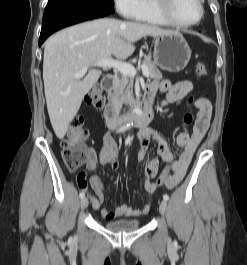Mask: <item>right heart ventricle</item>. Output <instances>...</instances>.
<instances>
[{
  "mask_svg": "<svg viewBox=\"0 0 247 265\" xmlns=\"http://www.w3.org/2000/svg\"><path fill=\"white\" fill-rule=\"evenodd\" d=\"M136 20L154 25L170 26L157 11L155 0H142V8Z\"/></svg>",
  "mask_w": 247,
  "mask_h": 265,
  "instance_id": "obj_1",
  "label": "right heart ventricle"
}]
</instances>
